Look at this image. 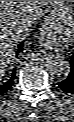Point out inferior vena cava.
<instances>
[{"label":"inferior vena cava","instance_id":"inferior-vena-cava-1","mask_svg":"<svg viewBox=\"0 0 74 122\" xmlns=\"http://www.w3.org/2000/svg\"><path fill=\"white\" fill-rule=\"evenodd\" d=\"M30 26V22H28L27 24H24L23 26L20 27V31L23 32L25 31L27 28L26 27H29Z\"/></svg>","mask_w":74,"mask_h":122}]
</instances>
